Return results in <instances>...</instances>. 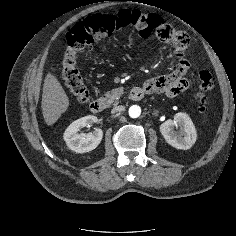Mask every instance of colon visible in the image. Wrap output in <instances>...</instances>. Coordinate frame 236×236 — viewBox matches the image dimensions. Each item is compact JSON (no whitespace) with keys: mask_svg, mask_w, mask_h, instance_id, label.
I'll list each match as a JSON object with an SVG mask.
<instances>
[{"mask_svg":"<svg viewBox=\"0 0 236 236\" xmlns=\"http://www.w3.org/2000/svg\"><path fill=\"white\" fill-rule=\"evenodd\" d=\"M127 27H133L141 38L155 36L164 42L181 44L184 41L182 34L175 31L160 15L137 10L125 9L113 14H95L77 22L66 36L61 73L64 85L78 102L85 103L90 98L87 85L77 67L78 54L100 39L112 37L116 32ZM198 80L200 109L205 111L208 95L214 87L213 78L209 71L201 70ZM185 88L186 84L182 83L180 90Z\"/></svg>","mask_w":236,"mask_h":236,"instance_id":"5ec220e1","label":"colon"}]
</instances>
